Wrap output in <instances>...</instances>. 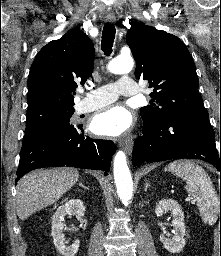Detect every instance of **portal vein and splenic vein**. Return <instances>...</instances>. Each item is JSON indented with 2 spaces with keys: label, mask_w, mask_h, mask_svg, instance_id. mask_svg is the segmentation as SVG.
Here are the masks:
<instances>
[{
  "label": "portal vein and splenic vein",
  "mask_w": 221,
  "mask_h": 256,
  "mask_svg": "<svg viewBox=\"0 0 221 256\" xmlns=\"http://www.w3.org/2000/svg\"><path fill=\"white\" fill-rule=\"evenodd\" d=\"M187 200H188V201H191V200H192V197H191V196H188V197H187Z\"/></svg>",
  "instance_id": "portal-vein-and-splenic-vein-1"
}]
</instances>
